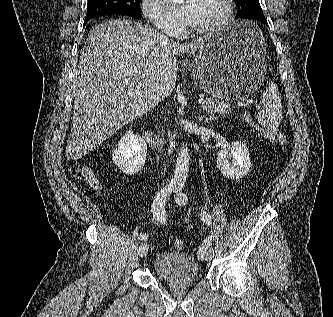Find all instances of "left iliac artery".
Returning a JSON list of instances; mask_svg holds the SVG:
<instances>
[{
  "label": "left iliac artery",
  "instance_id": "obj_1",
  "mask_svg": "<svg viewBox=\"0 0 333 317\" xmlns=\"http://www.w3.org/2000/svg\"><path fill=\"white\" fill-rule=\"evenodd\" d=\"M182 188L183 185L182 184H177L175 185L174 188V192H175V201L179 204V205H186L188 202V197L185 193L182 192ZM201 219L208 225L211 226L212 225V218L210 216V214L206 211L201 212ZM212 244V235H209L207 237V239H205L204 243L202 244V246L199 248L197 255L198 258L203 259L206 253V250L208 249V247H210V245ZM213 253L214 250L213 248H210ZM209 249V250H210Z\"/></svg>",
  "mask_w": 333,
  "mask_h": 317
}]
</instances>
